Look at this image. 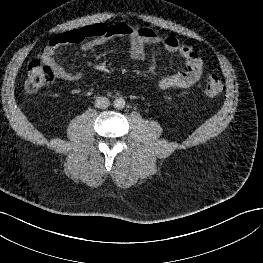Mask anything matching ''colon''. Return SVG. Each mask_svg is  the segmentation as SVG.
Segmentation results:
<instances>
[{"label": "colon", "mask_w": 263, "mask_h": 263, "mask_svg": "<svg viewBox=\"0 0 263 263\" xmlns=\"http://www.w3.org/2000/svg\"><path fill=\"white\" fill-rule=\"evenodd\" d=\"M53 70L38 60L30 62L26 72L25 90L28 93H35L54 81ZM223 90V84L216 75H210L205 84V93L209 96H216Z\"/></svg>", "instance_id": "5ec220e1"}]
</instances>
